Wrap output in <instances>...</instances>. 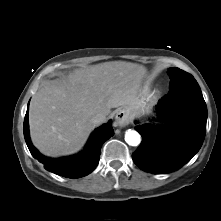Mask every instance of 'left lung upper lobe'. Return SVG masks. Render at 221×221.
<instances>
[{"instance_id":"1","label":"left lung upper lobe","mask_w":221,"mask_h":221,"mask_svg":"<svg viewBox=\"0 0 221 221\" xmlns=\"http://www.w3.org/2000/svg\"><path fill=\"white\" fill-rule=\"evenodd\" d=\"M168 74L170 77L169 89L174 87L179 82L194 79V77L191 74H189L179 68H169Z\"/></svg>"}]
</instances>
